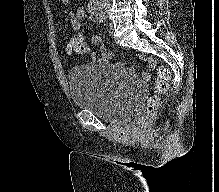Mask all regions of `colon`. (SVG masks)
Returning a JSON list of instances; mask_svg holds the SVG:
<instances>
[{
	"label": "colon",
	"mask_w": 219,
	"mask_h": 192,
	"mask_svg": "<svg viewBox=\"0 0 219 192\" xmlns=\"http://www.w3.org/2000/svg\"><path fill=\"white\" fill-rule=\"evenodd\" d=\"M69 52H74L77 54H87L91 52V49L88 47L86 42L81 38L74 39L68 46ZM108 61L111 59L110 57L107 58ZM157 84H156V92L158 94L164 93L167 91L170 80L171 74L168 68L164 66L157 67ZM158 104L157 96H152L148 99L145 110L143 114L138 119V125L141 127H146L156 112Z\"/></svg>",
	"instance_id": "5ec220e1"
}]
</instances>
